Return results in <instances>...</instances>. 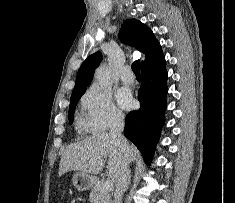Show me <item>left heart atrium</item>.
<instances>
[{"instance_id":"39dd6f15","label":"left heart atrium","mask_w":235,"mask_h":203,"mask_svg":"<svg viewBox=\"0 0 235 203\" xmlns=\"http://www.w3.org/2000/svg\"><path fill=\"white\" fill-rule=\"evenodd\" d=\"M117 101L119 105L124 109H130L134 105V100L131 94L126 90L118 92Z\"/></svg>"}]
</instances>
